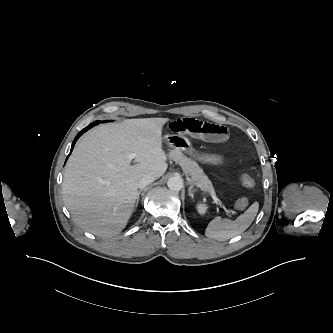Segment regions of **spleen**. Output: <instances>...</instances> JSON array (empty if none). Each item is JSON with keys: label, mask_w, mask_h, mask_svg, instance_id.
<instances>
[{"label": "spleen", "mask_w": 333, "mask_h": 333, "mask_svg": "<svg viewBox=\"0 0 333 333\" xmlns=\"http://www.w3.org/2000/svg\"><path fill=\"white\" fill-rule=\"evenodd\" d=\"M259 209L258 202H254L236 220L215 217L205 230V235L216 240H227L244 232L255 219Z\"/></svg>", "instance_id": "3e777b00"}]
</instances>
